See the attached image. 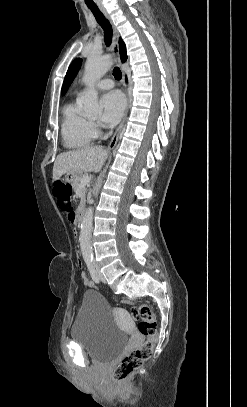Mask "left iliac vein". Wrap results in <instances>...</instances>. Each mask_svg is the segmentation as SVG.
Here are the masks:
<instances>
[{"mask_svg":"<svg viewBox=\"0 0 247 407\" xmlns=\"http://www.w3.org/2000/svg\"><path fill=\"white\" fill-rule=\"evenodd\" d=\"M93 266H94V268H95V270H96V272H97V274H98V276H99V279H100L102 282H105V278H104V276L100 273L97 263H96V262H93Z\"/></svg>","mask_w":247,"mask_h":407,"instance_id":"left-iliac-vein-1","label":"left iliac vein"}]
</instances>
